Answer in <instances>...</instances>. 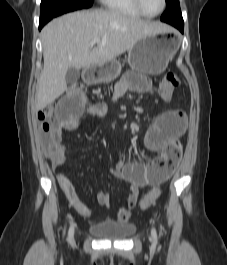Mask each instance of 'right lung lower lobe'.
<instances>
[{"instance_id":"obj_1","label":"right lung lower lobe","mask_w":227,"mask_h":265,"mask_svg":"<svg viewBox=\"0 0 227 265\" xmlns=\"http://www.w3.org/2000/svg\"><path fill=\"white\" fill-rule=\"evenodd\" d=\"M42 26H43V25H42V24H40V25H39V28L41 29V27H42Z\"/></svg>"}]
</instances>
